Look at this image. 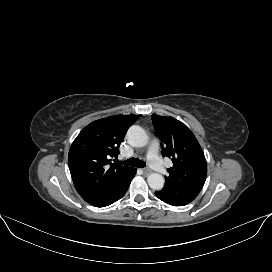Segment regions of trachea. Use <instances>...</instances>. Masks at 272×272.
<instances>
[{
	"label": "trachea",
	"mask_w": 272,
	"mask_h": 272,
	"mask_svg": "<svg viewBox=\"0 0 272 272\" xmlns=\"http://www.w3.org/2000/svg\"><path fill=\"white\" fill-rule=\"evenodd\" d=\"M122 163L127 166H137L138 168H144L146 166V163L143 160L137 158H130Z\"/></svg>",
	"instance_id": "1"
}]
</instances>
